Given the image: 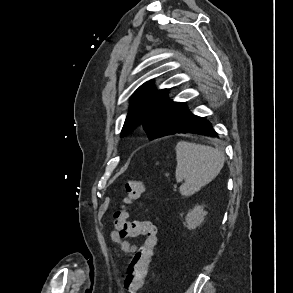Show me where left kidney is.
I'll return each mask as SVG.
<instances>
[{
    "mask_svg": "<svg viewBox=\"0 0 293 293\" xmlns=\"http://www.w3.org/2000/svg\"><path fill=\"white\" fill-rule=\"evenodd\" d=\"M206 214L207 212L203 209L202 206H195L187 213L184 226L189 230L197 228L204 221Z\"/></svg>",
    "mask_w": 293,
    "mask_h": 293,
    "instance_id": "obj_1",
    "label": "left kidney"
}]
</instances>
